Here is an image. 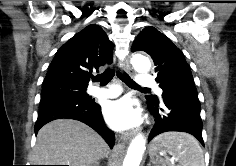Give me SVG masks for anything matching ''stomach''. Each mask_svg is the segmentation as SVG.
<instances>
[{"instance_id": "1", "label": "stomach", "mask_w": 236, "mask_h": 166, "mask_svg": "<svg viewBox=\"0 0 236 166\" xmlns=\"http://www.w3.org/2000/svg\"><path fill=\"white\" fill-rule=\"evenodd\" d=\"M149 155H150V158H151V162L154 164V166H160V163L158 161L159 153L154 150V147H153L152 143L150 145Z\"/></svg>"}]
</instances>
